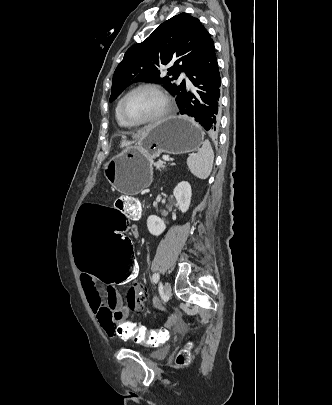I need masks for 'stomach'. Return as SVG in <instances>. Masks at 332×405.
I'll return each instance as SVG.
<instances>
[{
  "label": "stomach",
  "instance_id": "stomach-1",
  "mask_svg": "<svg viewBox=\"0 0 332 405\" xmlns=\"http://www.w3.org/2000/svg\"><path fill=\"white\" fill-rule=\"evenodd\" d=\"M204 133L191 118L171 116L154 125L135 146L126 148L103 166L117 191L136 195L152 180L151 162L162 153L184 154L200 148Z\"/></svg>",
  "mask_w": 332,
  "mask_h": 405
}]
</instances>
